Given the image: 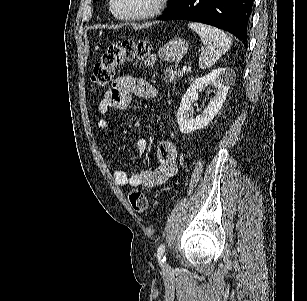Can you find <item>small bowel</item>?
<instances>
[{
  "instance_id": "c3829d8e",
  "label": "small bowel",
  "mask_w": 307,
  "mask_h": 301,
  "mask_svg": "<svg viewBox=\"0 0 307 301\" xmlns=\"http://www.w3.org/2000/svg\"><path fill=\"white\" fill-rule=\"evenodd\" d=\"M157 94L156 88L144 79L133 76H122L114 80L111 88L105 93L99 103V111L105 115L110 109L126 110L132 104V96L146 99L154 98ZM109 128V122L105 118L98 120L95 134L103 137ZM137 153L142 156L147 150V142L139 139L135 143ZM159 166L154 169L134 171L127 173L117 170L113 174V180L118 186H143L152 188L162 185L177 171L178 153L175 144L170 140L160 143L157 151Z\"/></svg>"
}]
</instances>
